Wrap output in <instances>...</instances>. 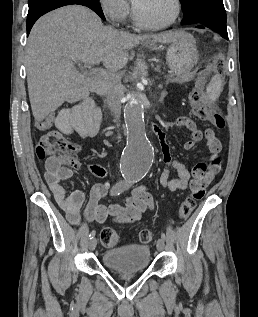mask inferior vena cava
<instances>
[{
    "label": "inferior vena cava",
    "instance_id": "obj_1",
    "mask_svg": "<svg viewBox=\"0 0 258 317\" xmlns=\"http://www.w3.org/2000/svg\"><path fill=\"white\" fill-rule=\"evenodd\" d=\"M115 86L116 82L114 80V76L110 74V76H108L107 88L105 90V94L107 96L106 100L108 106H110V110L114 116V120L115 122H117V126H120V106H118V104H114L113 102V98L115 96ZM118 138H120V136H118Z\"/></svg>",
    "mask_w": 258,
    "mask_h": 317
}]
</instances>
